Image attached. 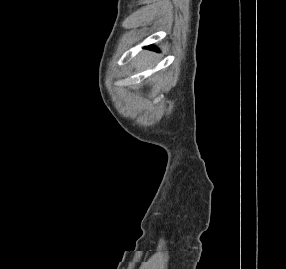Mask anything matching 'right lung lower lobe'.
I'll return each instance as SVG.
<instances>
[{"mask_svg": "<svg viewBox=\"0 0 286 269\" xmlns=\"http://www.w3.org/2000/svg\"><path fill=\"white\" fill-rule=\"evenodd\" d=\"M149 48L155 50V48L153 46H150Z\"/></svg>", "mask_w": 286, "mask_h": 269, "instance_id": "98d812e1", "label": "right lung lower lobe"}]
</instances>
